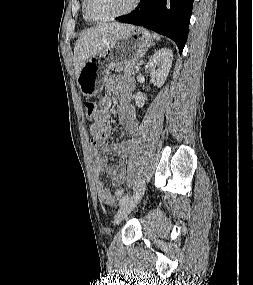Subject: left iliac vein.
I'll list each match as a JSON object with an SVG mask.
<instances>
[{"instance_id":"left-iliac-vein-1","label":"left iliac vein","mask_w":253,"mask_h":285,"mask_svg":"<svg viewBox=\"0 0 253 285\" xmlns=\"http://www.w3.org/2000/svg\"><path fill=\"white\" fill-rule=\"evenodd\" d=\"M145 191V187L143 186L137 191L131 198H129L121 207L119 208L117 214L115 215V224L120 223L123 219H125L129 213L137 206L140 202Z\"/></svg>"}]
</instances>
